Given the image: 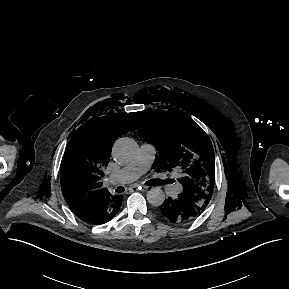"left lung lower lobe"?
<instances>
[{"label":"left lung lower lobe","mask_w":289,"mask_h":289,"mask_svg":"<svg viewBox=\"0 0 289 289\" xmlns=\"http://www.w3.org/2000/svg\"><path fill=\"white\" fill-rule=\"evenodd\" d=\"M159 207L161 214L172 223L190 222L205 210V206L196 198L185 193H180L176 198L165 199Z\"/></svg>","instance_id":"left-lung-lower-lobe-1"}]
</instances>
